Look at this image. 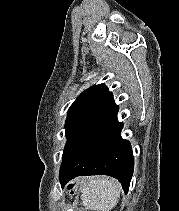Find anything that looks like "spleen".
I'll return each mask as SVG.
<instances>
[{
	"mask_svg": "<svg viewBox=\"0 0 179 211\" xmlns=\"http://www.w3.org/2000/svg\"><path fill=\"white\" fill-rule=\"evenodd\" d=\"M122 188L119 182L106 176L86 178L81 184V199L85 208L110 211L118 203Z\"/></svg>",
	"mask_w": 179,
	"mask_h": 211,
	"instance_id": "3e777b00",
	"label": "spleen"
}]
</instances>
